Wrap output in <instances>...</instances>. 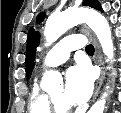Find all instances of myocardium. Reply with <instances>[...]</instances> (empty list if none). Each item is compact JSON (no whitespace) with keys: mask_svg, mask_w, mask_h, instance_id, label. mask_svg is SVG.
<instances>
[{"mask_svg":"<svg viewBox=\"0 0 121 113\" xmlns=\"http://www.w3.org/2000/svg\"><path fill=\"white\" fill-rule=\"evenodd\" d=\"M48 102H49V105H50V107H51V109L53 110L54 113H65V112H67L71 109V107L69 105L59 104L52 97V95L50 93L48 94Z\"/></svg>","mask_w":121,"mask_h":113,"instance_id":"1","label":"myocardium"}]
</instances>
